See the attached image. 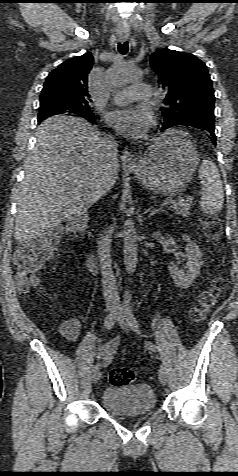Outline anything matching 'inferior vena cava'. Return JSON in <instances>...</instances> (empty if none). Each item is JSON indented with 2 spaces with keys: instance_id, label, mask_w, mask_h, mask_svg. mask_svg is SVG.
<instances>
[{
  "instance_id": "obj_1",
  "label": "inferior vena cava",
  "mask_w": 238,
  "mask_h": 476,
  "mask_svg": "<svg viewBox=\"0 0 238 476\" xmlns=\"http://www.w3.org/2000/svg\"><path fill=\"white\" fill-rule=\"evenodd\" d=\"M101 147L107 160V169H109L111 165H114L118 162V145L115 141L110 140L108 138H104L102 139ZM104 183H107V179L104 180ZM106 191L107 190L102 186L99 190V194L103 195L106 193ZM97 243L98 259L102 275V286L105 302L107 307H112L119 310L120 300L118 295V288L111 266L109 231L104 230L100 234Z\"/></svg>"
}]
</instances>
